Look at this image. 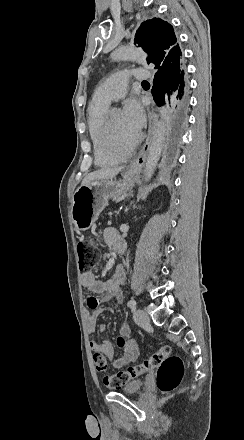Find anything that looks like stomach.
<instances>
[{"mask_svg": "<svg viewBox=\"0 0 244 440\" xmlns=\"http://www.w3.org/2000/svg\"><path fill=\"white\" fill-rule=\"evenodd\" d=\"M137 174L123 172L122 180H93L88 186H79L72 198L71 218L79 232L89 230L108 200H122L131 192Z\"/></svg>", "mask_w": 244, "mask_h": 440, "instance_id": "1", "label": "stomach"}]
</instances>
